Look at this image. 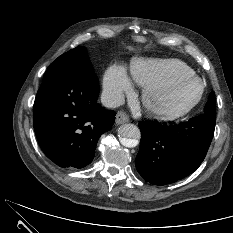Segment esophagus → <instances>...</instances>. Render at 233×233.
<instances>
[{
	"label": "esophagus",
	"instance_id": "1",
	"mask_svg": "<svg viewBox=\"0 0 233 233\" xmlns=\"http://www.w3.org/2000/svg\"><path fill=\"white\" fill-rule=\"evenodd\" d=\"M116 124H123L129 121V117L123 111H118L116 114Z\"/></svg>",
	"mask_w": 233,
	"mask_h": 233
}]
</instances>
